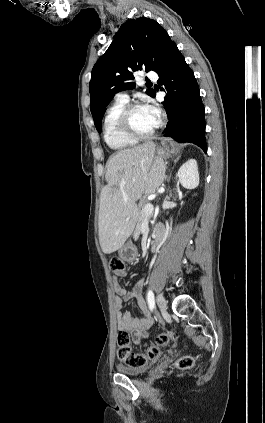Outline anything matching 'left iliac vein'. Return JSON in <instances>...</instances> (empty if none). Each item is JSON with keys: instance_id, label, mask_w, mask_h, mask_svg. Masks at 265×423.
<instances>
[{"instance_id": "left-iliac-vein-1", "label": "left iliac vein", "mask_w": 265, "mask_h": 423, "mask_svg": "<svg viewBox=\"0 0 265 423\" xmlns=\"http://www.w3.org/2000/svg\"><path fill=\"white\" fill-rule=\"evenodd\" d=\"M156 302L160 310H166L167 304L163 295L159 294L156 298Z\"/></svg>"}]
</instances>
